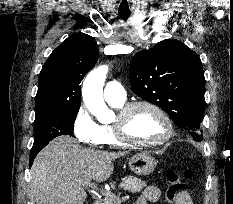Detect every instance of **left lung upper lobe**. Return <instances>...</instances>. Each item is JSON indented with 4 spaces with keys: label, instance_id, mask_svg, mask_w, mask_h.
<instances>
[{
    "label": "left lung upper lobe",
    "instance_id": "5c2ea615",
    "mask_svg": "<svg viewBox=\"0 0 233 204\" xmlns=\"http://www.w3.org/2000/svg\"><path fill=\"white\" fill-rule=\"evenodd\" d=\"M129 76L137 96L167 112L194 140H202L205 78L194 51L178 40H163L133 57Z\"/></svg>",
    "mask_w": 233,
    "mask_h": 204
}]
</instances>
